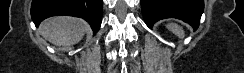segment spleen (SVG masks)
Segmentation results:
<instances>
[{
	"mask_svg": "<svg viewBox=\"0 0 244 73\" xmlns=\"http://www.w3.org/2000/svg\"><path fill=\"white\" fill-rule=\"evenodd\" d=\"M167 29L171 31L173 34L177 35L180 38L184 37V30L183 28L176 24V23H170L166 25Z\"/></svg>",
	"mask_w": 244,
	"mask_h": 73,
	"instance_id": "3e777b00",
	"label": "spleen"
}]
</instances>
